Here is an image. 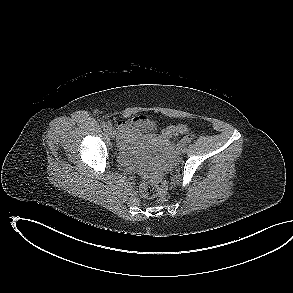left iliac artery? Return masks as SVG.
Segmentation results:
<instances>
[{
  "label": "left iliac artery",
  "instance_id": "obj_1",
  "mask_svg": "<svg viewBox=\"0 0 293 293\" xmlns=\"http://www.w3.org/2000/svg\"><path fill=\"white\" fill-rule=\"evenodd\" d=\"M183 143L187 145V144L190 143V140H189L188 138H185V139L183 140Z\"/></svg>",
  "mask_w": 293,
  "mask_h": 293
}]
</instances>
